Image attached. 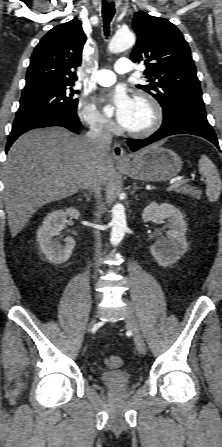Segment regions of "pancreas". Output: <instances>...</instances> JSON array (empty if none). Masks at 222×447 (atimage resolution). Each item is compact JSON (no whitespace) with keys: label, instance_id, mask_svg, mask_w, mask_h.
Returning a JSON list of instances; mask_svg holds the SVG:
<instances>
[{"label":"pancreas","instance_id":"obj_1","mask_svg":"<svg viewBox=\"0 0 222 447\" xmlns=\"http://www.w3.org/2000/svg\"><path fill=\"white\" fill-rule=\"evenodd\" d=\"M176 192L184 194V195H188L194 199L201 198V191L196 189L195 187L190 186V185L182 186V187L176 189Z\"/></svg>","mask_w":222,"mask_h":447}]
</instances>
